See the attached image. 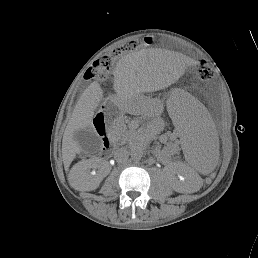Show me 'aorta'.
Masks as SVG:
<instances>
[{
  "label": "aorta",
  "instance_id": "1",
  "mask_svg": "<svg viewBox=\"0 0 258 258\" xmlns=\"http://www.w3.org/2000/svg\"><path fill=\"white\" fill-rule=\"evenodd\" d=\"M131 157L134 161L138 162L142 158V152L138 149H132L131 150Z\"/></svg>",
  "mask_w": 258,
  "mask_h": 258
}]
</instances>
